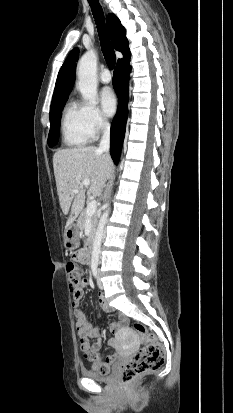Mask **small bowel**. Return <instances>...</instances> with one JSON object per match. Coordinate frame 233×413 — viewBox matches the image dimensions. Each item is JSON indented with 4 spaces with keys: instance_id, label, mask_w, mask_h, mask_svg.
I'll return each mask as SVG.
<instances>
[{
    "instance_id": "1",
    "label": "small bowel",
    "mask_w": 233,
    "mask_h": 413,
    "mask_svg": "<svg viewBox=\"0 0 233 413\" xmlns=\"http://www.w3.org/2000/svg\"><path fill=\"white\" fill-rule=\"evenodd\" d=\"M85 249L83 247H76L74 249V254L72 255V260L74 261L75 266H80L81 261H84ZM87 285V281L81 283V285L73 291V308L74 316L76 319V329L79 336V346L85 357L93 364L94 369L98 370L101 366H108L109 363L114 361L115 356H107L104 362H99L98 354L101 349V335L97 327L92 326L87 322L85 313L80 306L81 299L83 297L84 288ZM99 302L101 307L106 312H111L112 308L108 305L104 297H99ZM125 322V320H123ZM119 325L111 324V329L113 331L117 330ZM114 344L113 341L110 342Z\"/></svg>"
}]
</instances>
